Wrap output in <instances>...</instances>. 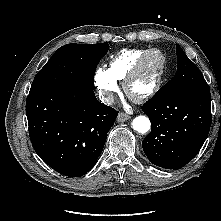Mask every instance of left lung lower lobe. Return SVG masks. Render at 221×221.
I'll return each mask as SVG.
<instances>
[{
    "mask_svg": "<svg viewBox=\"0 0 221 221\" xmlns=\"http://www.w3.org/2000/svg\"><path fill=\"white\" fill-rule=\"evenodd\" d=\"M142 110L152 125L142 142L151 163L176 170L197 155L210 130V91L155 94Z\"/></svg>",
    "mask_w": 221,
    "mask_h": 221,
    "instance_id": "0a47b994",
    "label": "left lung lower lobe"
}]
</instances>
